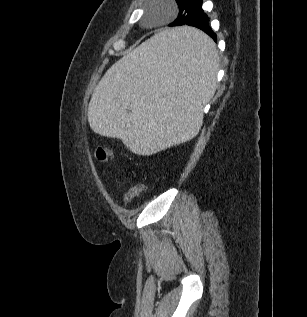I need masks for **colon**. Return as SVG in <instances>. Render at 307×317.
Instances as JSON below:
<instances>
[{"label":"colon","mask_w":307,"mask_h":317,"mask_svg":"<svg viewBox=\"0 0 307 317\" xmlns=\"http://www.w3.org/2000/svg\"><path fill=\"white\" fill-rule=\"evenodd\" d=\"M95 158L99 162H109L113 159V153L111 149L103 146H98L94 151ZM147 189V185L145 183H138L131 188L123 195V203L127 204L131 202L134 198L139 196L142 192Z\"/></svg>","instance_id":"obj_1"}]
</instances>
